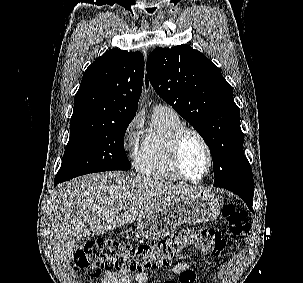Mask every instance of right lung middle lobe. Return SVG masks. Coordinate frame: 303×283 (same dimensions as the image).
I'll use <instances>...</instances> for the list:
<instances>
[{
    "mask_svg": "<svg viewBox=\"0 0 303 283\" xmlns=\"http://www.w3.org/2000/svg\"><path fill=\"white\" fill-rule=\"evenodd\" d=\"M131 121H70V138L56 177L66 181L88 173L130 169L124 135Z\"/></svg>",
    "mask_w": 303,
    "mask_h": 283,
    "instance_id": "right-lung-middle-lobe-1",
    "label": "right lung middle lobe"
}]
</instances>
